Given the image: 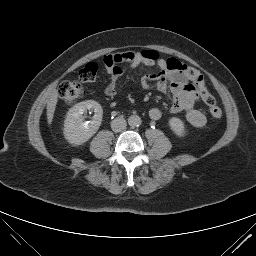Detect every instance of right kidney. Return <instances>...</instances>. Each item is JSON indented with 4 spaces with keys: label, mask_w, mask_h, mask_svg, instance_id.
Returning a JSON list of instances; mask_svg holds the SVG:
<instances>
[{
    "label": "right kidney",
    "mask_w": 256,
    "mask_h": 256,
    "mask_svg": "<svg viewBox=\"0 0 256 256\" xmlns=\"http://www.w3.org/2000/svg\"><path fill=\"white\" fill-rule=\"evenodd\" d=\"M87 110L94 112L93 120L83 122V114ZM103 117L101 105L93 100L75 104L69 109L64 121L65 139L72 145H82L87 142L99 129Z\"/></svg>",
    "instance_id": "obj_1"
}]
</instances>
